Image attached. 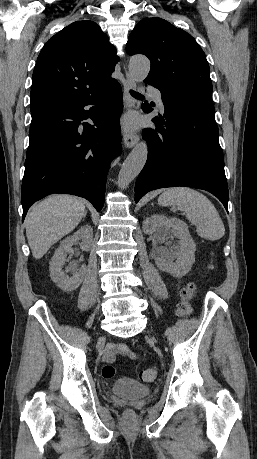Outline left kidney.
<instances>
[{
	"label": "left kidney",
	"instance_id": "5707ae66",
	"mask_svg": "<svg viewBox=\"0 0 257 459\" xmlns=\"http://www.w3.org/2000/svg\"><path fill=\"white\" fill-rule=\"evenodd\" d=\"M142 228L146 234L155 233L159 242H166L171 236L180 239L179 246L156 249V264L161 270L178 278L191 270L195 262L196 244L185 222L174 217L154 214L146 218Z\"/></svg>",
	"mask_w": 257,
	"mask_h": 459
}]
</instances>
